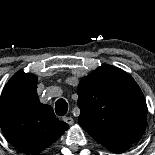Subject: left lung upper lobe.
Listing matches in <instances>:
<instances>
[{
	"instance_id": "5c2ea615",
	"label": "left lung upper lobe",
	"mask_w": 155,
	"mask_h": 155,
	"mask_svg": "<svg viewBox=\"0 0 155 155\" xmlns=\"http://www.w3.org/2000/svg\"><path fill=\"white\" fill-rule=\"evenodd\" d=\"M77 93L78 123L109 150L129 148L143 135L146 101L138 84L122 69L98 67L80 81Z\"/></svg>"
}]
</instances>
